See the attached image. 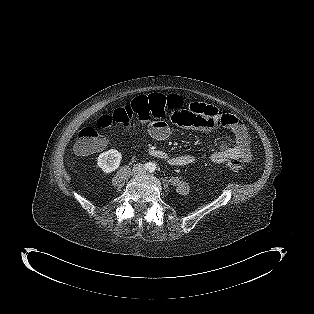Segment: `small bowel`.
<instances>
[{
    "label": "small bowel",
    "mask_w": 314,
    "mask_h": 314,
    "mask_svg": "<svg viewBox=\"0 0 314 314\" xmlns=\"http://www.w3.org/2000/svg\"><path fill=\"white\" fill-rule=\"evenodd\" d=\"M171 122L178 129L188 127L200 132L228 129L233 137L224 140L217 150L210 153L208 158L212 163L220 164L230 159L248 161L251 157V141L244 124L236 116L213 105L195 102L187 109L178 108L172 113ZM147 133L153 139L164 140L169 135V126L164 121H155L148 127ZM195 161L194 155L182 154L172 157L170 163L173 166H187Z\"/></svg>",
    "instance_id": "1"
}]
</instances>
